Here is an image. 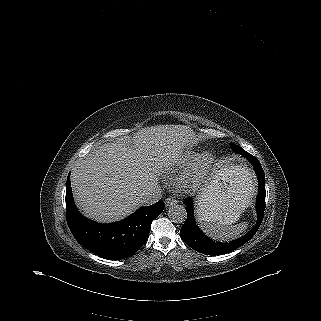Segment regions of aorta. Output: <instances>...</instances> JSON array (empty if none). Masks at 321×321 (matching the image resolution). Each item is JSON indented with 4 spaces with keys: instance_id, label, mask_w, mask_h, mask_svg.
<instances>
[{
    "instance_id": "obj_1",
    "label": "aorta",
    "mask_w": 321,
    "mask_h": 321,
    "mask_svg": "<svg viewBox=\"0 0 321 321\" xmlns=\"http://www.w3.org/2000/svg\"><path fill=\"white\" fill-rule=\"evenodd\" d=\"M168 217L172 222L182 224L186 221L187 211L184 206L175 204L169 208Z\"/></svg>"
}]
</instances>
